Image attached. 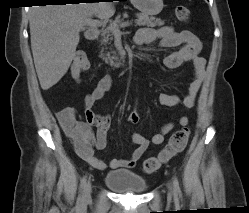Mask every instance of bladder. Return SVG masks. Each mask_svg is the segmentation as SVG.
Instances as JSON below:
<instances>
[{
  "label": "bladder",
  "mask_w": 249,
  "mask_h": 213,
  "mask_svg": "<svg viewBox=\"0 0 249 213\" xmlns=\"http://www.w3.org/2000/svg\"><path fill=\"white\" fill-rule=\"evenodd\" d=\"M104 184L118 192L143 193L148 189V182L134 171L119 169L106 174Z\"/></svg>",
  "instance_id": "bladder-1"
}]
</instances>
